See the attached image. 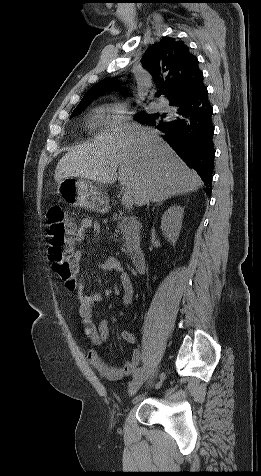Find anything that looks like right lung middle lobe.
I'll list each match as a JSON object with an SVG mask.
<instances>
[{
    "label": "right lung middle lobe",
    "mask_w": 261,
    "mask_h": 476,
    "mask_svg": "<svg viewBox=\"0 0 261 476\" xmlns=\"http://www.w3.org/2000/svg\"><path fill=\"white\" fill-rule=\"evenodd\" d=\"M86 107H87V105H82V106H79V107L75 108L74 111L71 114V117L80 114ZM162 116L163 115H160V114H154V115L151 114V115H149V114H144V113H138V114H136L135 117L139 121H142V122H145V123H150V122H153L155 120H158Z\"/></svg>",
    "instance_id": "1"
}]
</instances>
